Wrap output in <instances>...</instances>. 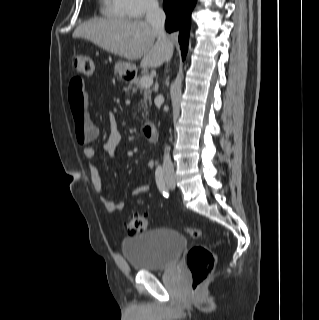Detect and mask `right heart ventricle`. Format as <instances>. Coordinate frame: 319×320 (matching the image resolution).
<instances>
[{
    "label": "right heart ventricle",
    "instance_id": "1",
    "mask_svg": "<svg viewBox=\"0 0 319 320\" xmlns=\"http://www.w3.org/2000/svg\"><path fill=\"white\" fill-rule=\"evenodd\" d=\"M101 11L105 16L114 19H125L127 17L121 0H101Z\"/></svg>",
    "mask_w": 319,
    "mask_h": 320
}]
</instances>
